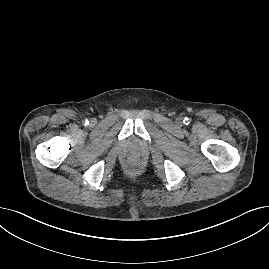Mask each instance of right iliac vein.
Here are the masks:
<instances>
[{"mask_svg": "<svg viewBox=\"0 0 269 269\" xmlns=\"http://www.w3.org/2000/svg\"><path fill=\"white\" fill-rule=\"evenodd\" d=\"M94 123V121H91V124H93Z\"/></svg>", "mask_w": 269, "mask_h": 269, "instance_id": "obj_1", "label": "right iliac vein"}]
</instances>
